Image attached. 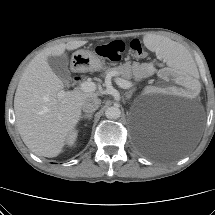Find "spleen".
Wrapping results in <instances>:
<instances>
[{"label": "spleen", "mask_w": 215, "mask_h": 215, "mask_svg": "<svg viewBox=\"0 0 215 215\" xmlns=\"http://www.w3.org/2000/svg\"><path fill=\"white\" fill-rule=\"evenodd\" d=\"M146 46L154 49V52L160 57H163L169 65L178 67L180 71L188 74H193L197 70V65L194 62L192 55L185 53L177 44L157 36L149 35L145 39Z\"/></svg>", "instance_id": "obj_1"}]
</instances>
